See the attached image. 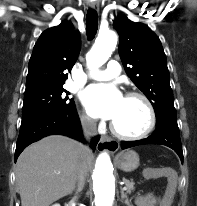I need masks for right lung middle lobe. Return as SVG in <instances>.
<instances>
[{
    "label": "right lung middle lobe",
    "mask_w": 197,
    "mask_h": 206,
    "mask_svg": "<svg viewBox=\"0 0 197 206\" xmlns=\"http://www.w3.org/2000/svg\"><path fill=\"white\" fill-rule=\"evenodd\" d=\"M68 94L69 92L63 88V85L38 86L26 89L22 108V122L47 114L73 110L75 103L73 99L68 98Z\"/></svg>",
    "instance_id": "dd1d6c3e"
}]
</instances>
